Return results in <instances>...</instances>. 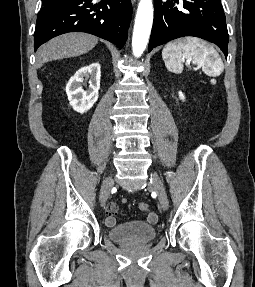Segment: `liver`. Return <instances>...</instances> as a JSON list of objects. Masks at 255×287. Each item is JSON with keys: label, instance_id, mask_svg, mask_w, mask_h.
Returning a JSON list of instances; mask_svg holds the SVG:
<instances>
[{"label": "liver", "instance_id": "6515ba94", "mask_svg": "<svg viewBox=\"0 0 255 287\" xmlns=\"http://www.w3.org/2000/svg\"><path fill=\"white\" fill-rule=\"evenodd\" d=\"M98 44V38L89 34H63L53 38L45 46L38 48L36 52V68H41L46 62L62 60V58H73L87 54Z\"/></svg>", "mask_w": 255, "mask_h": 287}]
</instances>
